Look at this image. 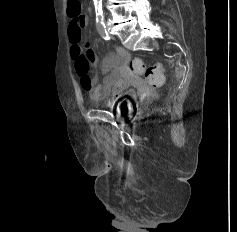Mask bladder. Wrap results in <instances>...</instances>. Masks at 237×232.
<instances>
[{"mask_svg": "<svg viewBox=\"0 0 237 232\" xmlns=\"http://www.w3.org/2000/svg\"><path fill=\"white\" fill-rule=\"evenodd\" d=\"M132 94L133 93H129L128 97L120 99L114 104L108 105V107L112 108L119 116L130 114L134 110V99Z\"/></svg>", "mask_w": 237, "mask_h": 232, "instance_id": "obj_1", "label": "bladder"}]
</instances>
